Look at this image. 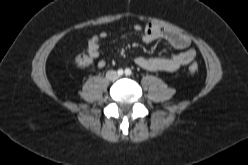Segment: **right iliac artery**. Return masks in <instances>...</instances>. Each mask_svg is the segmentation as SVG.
Instances as JSON below:
<instances>
[{"instance_id": "obj_1", "label": "right iliac artery", "mask_w": 248, "mask_h": 165, "mask_svg": "<svg viewBox=\"0 0 248 165\" xmlns=\"http://www.w3.org/2000/svg\"><path fill=\"white\" fill-rule=\"evenodd\" d=\"M117 73H118L119 76H121V75L123 74V70H122V69H119V70L117 71Z\"/></svg>"}]
</instances>
